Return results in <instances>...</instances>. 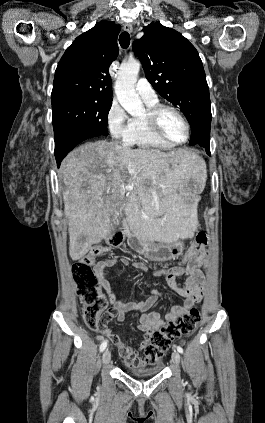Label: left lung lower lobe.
Returning <instances> with one entry per match:
<instances>
[{"instance_id":"1","label":"left lung lower lobe","mask_w":265,"mask_h":423,"mask_svg":"<svg viewBox=\"0 0 265 423\" xmlns=\"http://www.w3.org/2000/svg\"><path fill=\"white\" fill-rule=\"evenodd\" d=\"M197 144L204 147L206 149V152L210 154V127H208L207 130L204 132V135L200 137Z\"/></svg>"}]
</instances>
